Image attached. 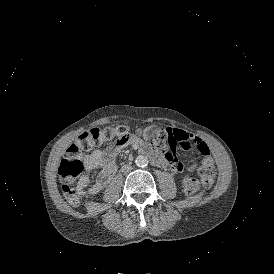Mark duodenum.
Returning a JSON list of instances; mask_svg holds the SVG:
<instances>
[{
    "label": "duodenum",
    "mask_w": 274,
    "mask_h": 274,
    "mask_svg": "<svg viewBox=\"0 0 274 274\" xmlns=\"http://www.w3.org/2000/svg\"><path fill=\"white\" fill-rule=\"evenodd\" d=\"M143 154H145V155H149V152H145V153H143Z\"/></svg>",
    "instance_id": "duodenum-1"
}]
</instances>
